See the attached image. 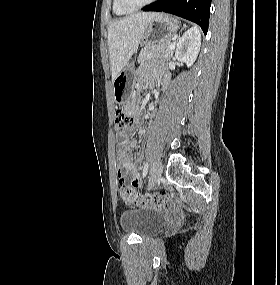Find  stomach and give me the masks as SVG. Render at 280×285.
<instances>
[{
    "label": "stomach",
    "mask_w": 280,
    "mask_h": 285,
    "mask_svg": "<svg viewBox=\"0 0 280 285\" xmlns=\"http://www.w3.org/2000/svg\"><path fill=\"white\" fill-rule=\"evenodd\" d=\"M178 30L177 23L165 15H158L148 25L141 46H149L163 40L171 39ZM134 65L130 63L113 81L114 100L117 104H126L132 98V75Z\"/></svg>",
    "instance_id": "stomach-1"
}]
</instances>
